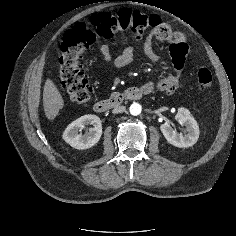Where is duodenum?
I'll return each instance as SVG.
<instances>
[{
	"mask_svg": "<svg viewBox=\"0 0 236 236\" xmlns=\"http://www.w3.org/2000/svg\"><path fill=\"white\" fill-rule=\"evenodd\" d=\"M147 94L148 92L145 90L144 87L141 86L129 87L126 90L111 96L109 99L95 102L93 104V109L96 112L103 113L112 108L118 107L125 100H130V101L139 100Z\"/></svg>",
	"mask_w": 236,
	"mask_h": 236,
	"instance_id": "obj_1",
	"label": "duodenum"
}]
</instances>
